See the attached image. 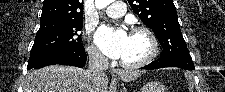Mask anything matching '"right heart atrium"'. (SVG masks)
I'll return each mask as SVG.
<instances>
[{
	"label": "right heart atrium",
	"mask_w": 225,
	"mask_h": 92,
	"mask_svg": "<svg viewBox=\"0 0 225 92\" xmlns=\"http://www.w3.org/2000/svg\"><path fill=\"white\" fill-rule=\"evenodd\" d=\"M88 53L91 58L97 60V61H102L103 60V55L100 52V50L93 44L88 46Z\"/></svg>",
	"instance_id": "d8ad5b80"
}]
</instances>
